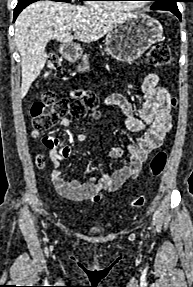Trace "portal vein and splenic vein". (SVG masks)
Segmentation results:
<instances>
[{"mask_svg": "<svg viewBox=\"0 0 193 287\" xmlns=\"http://www.w3.org/2000/svg\"><path fill=\"white\" fill-rule=\"evenodd\" d=\"M79 29V27H73L72 31H77Z\"/></svg>", "mask_w": 193, "mask_h": 287, "instance_id": "18ae733b", "label": "portal vein and splenic vein"}]
</instances>
